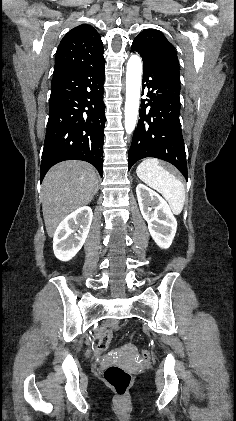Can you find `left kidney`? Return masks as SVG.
<instances>
[{"instance_id": "1", "label": "left kidney", "mask_w": 236, "mask_h": 421, "mask_svg": "<svg viewBox=\"0 0 236 421\" xmlns=\"http://www.w3.org/2000/svg\"><path fill=\"white\" fill-rule=\"evenodd\" d=\"M136 194L141 215L148 223L149 233L158 247L169 249L176 233L177 221L166 200L145 184H137Z\"/></svg>"}]
</instances>
